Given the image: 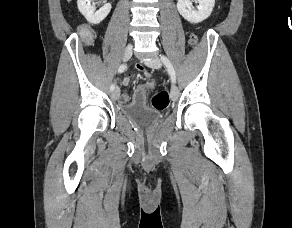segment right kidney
Returning a JSON list of instances; mask_svg holds the SVG:
<instances>
[{
  "label": "right kidney",
  "instance_id": "obj_1",
  "mask_svg": "<svg viewBox=\"0 0 292 228\" xmlns=\"http://www.w3.org/2000/svg\"><path fill=\"white\" fill-rule=\"evenodd\" d=\"M77 5L81 14L93 25L102 22L111 10V4L106 3L96 11V8L91 6V0H77Z\"/></svg>",
  "mask_w": 292,
  "mask_h": 228
}]
</instances>
